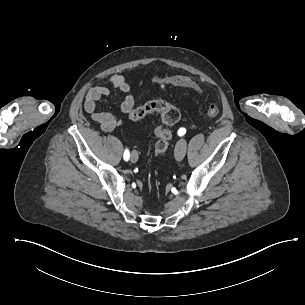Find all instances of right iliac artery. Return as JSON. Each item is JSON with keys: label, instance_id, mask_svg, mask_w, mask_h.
Returning <instances> with one entry per match:
<instances>
[{"label": "right iliac artery", "instance_id": "82829eb1", "mask_svg": "<svg viewBox=\"0 0 305 305\" xmlns=\"http://www.w3.org/2000/svg\"><path fill=\"white\" fill-rule=\"evenodd\" d=\"M123 158H124L125 161H128V160H129V158H130V152H129L128 149L125 150L124 155H123Z\"/></svg>", "mask_w": 305, "mask_h": 305}]
</instances>
